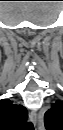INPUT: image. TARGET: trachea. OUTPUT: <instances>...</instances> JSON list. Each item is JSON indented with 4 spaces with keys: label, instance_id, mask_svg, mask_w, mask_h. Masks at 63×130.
I'll return each instance as SVG.
<instances>
[{
    "label": "trachea",
    "instance_id": "1",
    "mask_svg": "<svg viewBox=\"0 0 63 130\" xmlns=\"http://www.w3.org/2000/svg\"><path fill=\"white\" fill-rule=\"evenodd\" d=\"M25 130H34V126L31 122H28L25 126Z\"/></svg>",
    "mask_w": 63,
    "mask_h": 130
}]
</instances>
